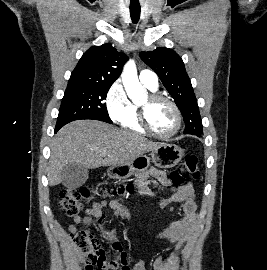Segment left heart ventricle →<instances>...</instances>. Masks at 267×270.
<instances>
[{"mask_svg":"<svg viewBox=\"0 0 267 270\" xmlns=\"http://www.w3.org/2000/svg\"><path fill=\"white\" fill-rule=\"evenodd\" d=\"M147 103V98L141 103ZM148 118L152 128L163 135L172 133L176 127V115L166 102H156L149 106Z\"/></svg>","mask_w":267,"mask_h":270,"instance_id":"left-heart-ventricle-1","label":"left heart ventricle"}]
</instances>
